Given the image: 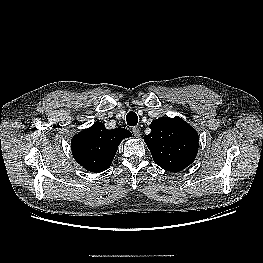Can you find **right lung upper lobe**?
I'll return each mask as SVG.
<instances>
[{
    "instance_id": "1",
    "label": "right lung upper lobe",
    "mask_w": 263,
    "mask_h": 263,
    "mask_svg": "<svg viewBox=\"0 0 263 263\" xmlns=\"http://www.w3.org/2000/svg\"><path fill=\"white\" fill-rule=\"evenodd\" d=\"M128 133L130 135L122 128L107 130L96 122L81 134L74 157L87 170L102 172L110 166L121 140L128 137Z\"/></svg>"
}]
</instances>
